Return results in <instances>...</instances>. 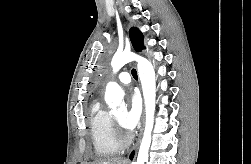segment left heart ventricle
<instances>
[{
  "mask_svg": "<svg viewBox=\"0 0 251 164\" xmlns=\"http://www.w3.org/2000/svg\"><path fill=\"white\" fill-rule=\"evenodd\" d=\"M116 118H117V120H118L120 123H122L123 118H124L123 113H118V114L116 115Z\"/></svg>",
  "mask_w": 251,
  "mask_h": 164,
  "instance_id": "b2bd125f",
  "label": "left heart ventricle"
}]
</instances>
